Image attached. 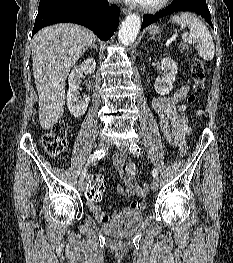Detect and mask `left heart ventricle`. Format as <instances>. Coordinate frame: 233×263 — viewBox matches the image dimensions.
Masks as SVG:
<instances>
[{
	"label": "left heart ventricle",
	"mask_w": 233,
	"mask_h": 263,
	"mask_svg": "<svg viewBox=\"0 0 233 263\" xmlns=\"http://www.w3.org/2000/svg\"><path fill=\"white\" fill-rule=\"evenodd\" d=\"M158 0H143V4H153L155 2H157Z\"/></svg>",
	"instance_id": "obj_1"
}]
</instances>
